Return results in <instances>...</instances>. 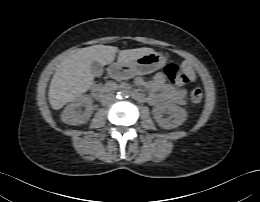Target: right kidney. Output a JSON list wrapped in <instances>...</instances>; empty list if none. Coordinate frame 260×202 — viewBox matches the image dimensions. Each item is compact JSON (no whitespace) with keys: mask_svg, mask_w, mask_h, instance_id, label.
Listing matches in <instances>:
<instances>
[{"mask_svg":"<svg viewBox=\"0 0 260 202\" xmlns=\"http://www.w3.org/2000/svg\"><path fill=\"white\" fill-rule=\"evenodd\" d=\"M81 107H85L82 110ZM92 114V98L81 95L75 98L61 113V120L69 125H80L87 122Z\"/></svg>","mask_w":260,"mask_h":202,"instance_id":"1","label":"right kidney"}]
</instances>
